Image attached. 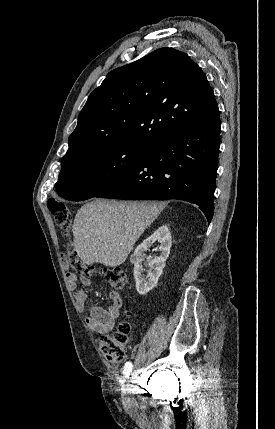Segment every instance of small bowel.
Returning <instances> with one entry per match:
<instances>
[{
    "instance_id": "obj_1",
    "label": "small bowel",
    "mask_w": 275,
    "mask_h": 429,
    "mask_svg": "<svg viewBox=\"0 0 275 429\" xmlns=\"http://www.w3.org/2000/svg\"><path fill=\"white\" fill-rule=\"evenodd\" d=\"M66 278L69 287L74 292V298L78 307L81 310L88 312V316L85 318L86 325L93 332L102 335L111 331L114 327L115 320L119 316V311L122 306L120 294L117 291H111L109 293L111 304L107 308L90 305L87 303L86 292L83 289L78 288L77 276L72 272H67ZM92 282L93 281L90 278H81V283L84 286H90Z\"/></svg>"
}]
</instances>
